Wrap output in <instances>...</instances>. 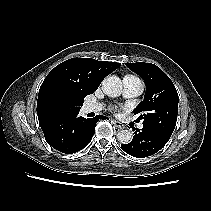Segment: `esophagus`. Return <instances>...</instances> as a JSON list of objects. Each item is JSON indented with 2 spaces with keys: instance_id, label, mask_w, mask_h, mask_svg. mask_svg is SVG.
Returning <instances> with one entry per match:
<instances>
[{
  "instance_id": "1",
  "label": "esophagus",
  "mask_w": 211,
  "mask_h": 211,
  "mask_svg": "<svg viewBox=\"0 0 211 211\" xmlns=\"http://www.w3.org/2000/svg\"><path fill=\"white\" fill-rule=\"evenodd\" d=\"M112 123L117 127V128H123L124 125L118 121V120H112Z\"/></svg>"
}]
</instances>
